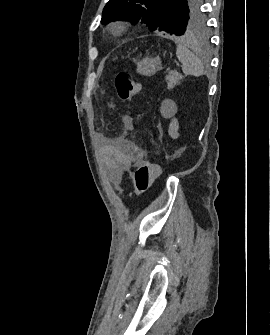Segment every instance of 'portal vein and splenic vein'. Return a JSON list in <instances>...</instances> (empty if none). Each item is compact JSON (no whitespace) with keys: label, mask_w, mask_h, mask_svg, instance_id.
<instances>
[{"label":"portal vein and splenic vein","mask_w":270,"mask_h":335,"mask_svg":"<svg viewBox=\"0 0 270 335\" xmlns=\"http://www.w3.org/2000/svg\"><path fill=\"white\" fill-rule=\"evenodd\" d=\"M176 66L180 69L182 66L179 63H176Z\"/></svg>","instance_id":"18ae733b"}]
</instances>
